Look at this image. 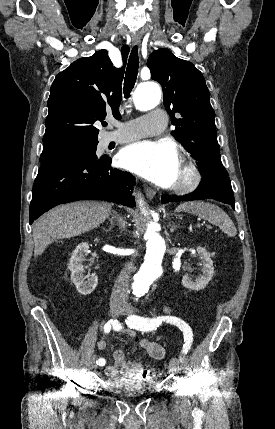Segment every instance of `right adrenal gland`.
<instances>
[{"mask_svg": "<svg viewBox=\"0 0 275 429\" xmlns=\"http://www.w3.org/2000/svg\"><path fill=\"white\" fill-rule=\"evenodd\" d=\"M109 221L111 223V227H113L115 225V222H117V225L119 226L121 232L125 230L127 225L126 219L120 214H118L115 210L112 211V216L109 218Z\"/></svg>", "mask_w": 275, "mask_h": 429, "instance_id": "2a0ac1e0", "label": "right adrenal gland"}]
</instances>
